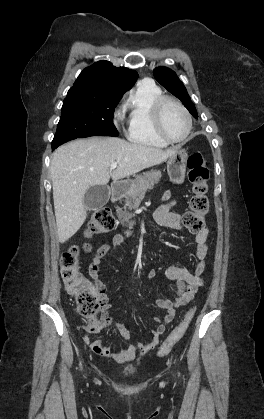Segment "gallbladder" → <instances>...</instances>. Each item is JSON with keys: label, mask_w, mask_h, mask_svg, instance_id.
I'll return each instance as SVG.
<instances>
[{"label": "gallbladder", "mask_w": 264, "mask_h": 419, "mask_svg": "<svg viewBox=\"0 0 264 419\" xmlns=\"http://www.w3.org/2000/svg\"><path fill=\"white\" fill-rule=\"evenodd\" d=\"M110 188L107 185H96L90 187L83 199V203L88 210H95L103 207L109 200Z\"/></svg>", "instance_id": "1"}]
</instances>
